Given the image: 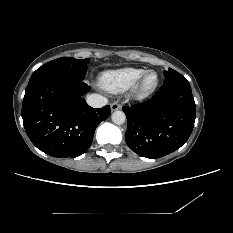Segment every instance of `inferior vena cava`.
I'll use <instances>...</instances> for the list:
<instances>
[{
	"label": "inferior vena cava",
	"instance_id": "602c4592",
	"mask_svg": "<svg viewBox=\"0 0 233 233\" xmlns=\"http://www.w3.org/2000/svg\"><path fill=\"white\" fill-rule=\"evenodd\" d=\"M108 100L99 94H91L87 97V103L93 108H101L107 104Z\"/></svg>",
	"mask_w": 233,
	"mask_h": 233
}]
</instances>
